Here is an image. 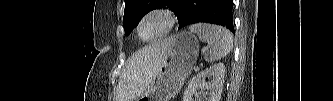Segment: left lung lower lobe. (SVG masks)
<instances>
[{"mask_svg": "<svg viewBox=\"0 0 333 101\" xmlns=\"http://www.w3.org/2000/svg\"><path fill=\"white\" fill-rule=\"evenodd\" d=\"M183 12L179 28L198 22L225 26L235 33L232 16V0H177Z\"/></svg>", "mask_w": 333, "mask_h": 101, "instance_id": "0a47b994", "label": "left lung lower lobe"}]
</instances>
